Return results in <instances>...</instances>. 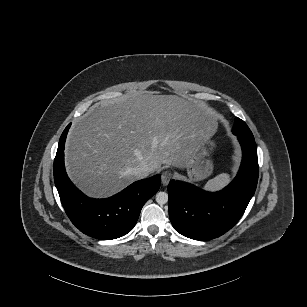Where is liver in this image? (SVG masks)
Instances as JSON below:
<instances>
[{"instance_id":"6515ba94","label":"liver","mask_w":307,"mask_h":307,"mask_svg":"<svg viewBox=\"0 0 307 307\" xmlns=\"http://www.w3.org/2000/svg\"><path fill=\"white\" fill-rule=\"evenodd\" d=\"M210 107L174 94H123L101 101L72 125L66 172L87 197L107 199L138 179L131 169L182 167L201 139Z\"/></svg>"}]
</instances>
